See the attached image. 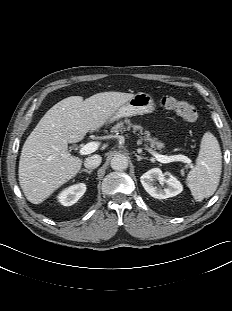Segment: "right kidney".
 <instances>
[{"instance_id": "right-kidney-1", "label": "right kidney", "mask_w": 232, "mask_h": 311, "mask_svg": "<svg viewBox=\"0 0 232 311\" xmlns=\"http://www.w3.org/2000/svg\"><path fill=\"white\" fill-rule=\"evenodd\" d=\"M86 185L84 183H79L72 185L63 191H61L57 198L58 201L64 206H71L75 204L85 193Z\"/></svg>"}]
</instances>
